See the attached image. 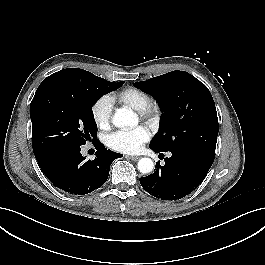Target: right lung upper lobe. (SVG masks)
<instances>
[{
    "mask_svg": "<svg viewBox=\"0 0 265 265\" xmlns=\"http://www.w3.org/2000/svg\"><path fill=\"white\" fill-rule=\"evenodd\" d=\"M75 69H78V68L63 69V70H61L59 72H56V73L52 74L51 76L54 77V76H60V75H63V74H67L69 72L76 71Z\"/></svg>",
    "mask_w": 265,
    "mask_h": 265,
    "instance_id": "obj_1",
    "label": "right lung upper lobe"
}]
</instances>
